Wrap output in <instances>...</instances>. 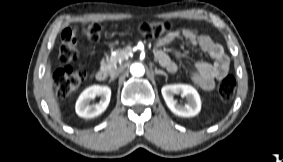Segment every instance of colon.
I'll use <instances>...</instances> for the list:
<instances>
[{"instance_id":"1","label":"colon","mask_w":283,"mask_h":162,"mask_svg":"<svg viewBox=\"0 0 283 162\" xmlns=\"http://www.w3.org/2000/svg\"><path fill=\"white\" fill-rule=\"evenodd\" d=\"M169 21L143 22L138 26L139 32L147 38H157L170 32ZM102 26L99 22H86L80 27H68L62 31L59 48L61 67L53 74V82L57 97L64 99L76 92L86 80V72L82 66L73 69L70 63L79 56L77 37L79 33L91 41L100 38ZM218 95L222 101L233 99L236 91V80L232 75L223 77L218 83Z\"/></svg>"}]
</instances>
